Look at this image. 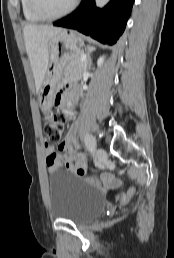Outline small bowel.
<instances>
[{
	"label": "small bowel",
	"mask_w": 174,
	"mask_h": 258,
	"mask_svg": "<svg viewBox=\"0 0 174 258\" xmlns=\"http://www.w3.org/2000/svg\"><path fill=\"white\" fill-rule=\"evenodd\" d=\"M74 95L75 89L73 87L61 90L54 98L55 104L57 106H65L70 103V100ZM67 115L72 116V112H67ZM77 132L78 124L74 122L70 126L65 139L58 144L57 149H55L52 144L45 142V163L50 173L64 167L77 175L86 174L87 156L84 153L77 151ZM92 174V178L104 179V184H124L125 182L124 179H111L107 172L105 174L93 172Z\"/></svg>",
	"instance_id": "small-bowel-1"
}]
</instances>
